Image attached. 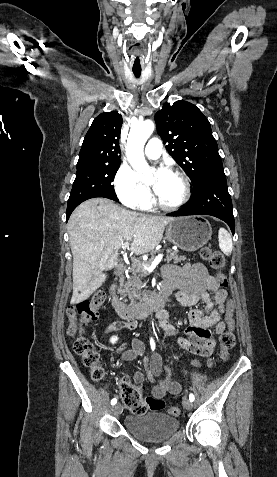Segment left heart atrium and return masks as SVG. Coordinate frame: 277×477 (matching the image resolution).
I'll return each mask as SVG.
<instances>
[{
  "mask_svg": "<svg viewBox=\"0 0 277 477\" xmlns=\"http://www.w3.org/2000/svg\"><path fill=\"white\" fill-rule=\"evenodd\" d=\"M171 172L166 169V168H160L157 172L159 181H162L164 178H166Z\"/></svg>",
  "mask_w": 277,
  "mask_h": 477,
  "instance_id": "39dd6f15",
  "label": "left heart atrium"
}]
</instances>
